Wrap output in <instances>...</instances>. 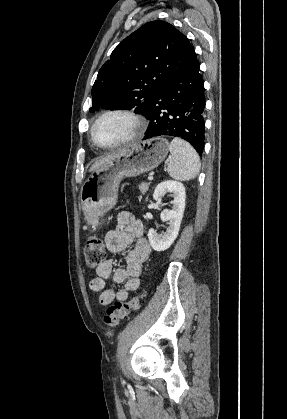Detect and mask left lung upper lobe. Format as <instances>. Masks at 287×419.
Here are the masks:
<instances>
[{"label": "left lung upper lobe", "mask_w": 287, "mask_h": 419, "mask_svg": "<svg viewBox=\"0 0 287 419\" xmlns=\"http://www.w3.org/2000/svg\"><path fill=\"white\" fill-rule=\"evenodd\" d=\"M195 60L185 35L167 22H148L126 37L100 69L90 111L135 109L146 116L161 87Z\"/></svg>", "instance_id": "1"}]
</instances>
